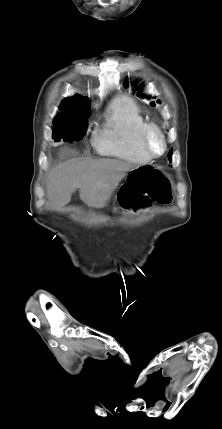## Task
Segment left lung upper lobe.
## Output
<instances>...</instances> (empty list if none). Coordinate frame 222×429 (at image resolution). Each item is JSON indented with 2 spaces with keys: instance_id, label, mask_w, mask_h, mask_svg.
Here are the masks:
<instances>
[{
  "instance_id": "left-lung-upper-lobe-1",
  "label": "left lung upper lobe",
  "mask_w": 222,
  "mask_h": 429,
  "mask_svg": "<svg viewBox=\"0 0 222 429\" xmlns=\"http://www.w3.org/2000/svg\"><path fill=\"white\" fill-rule=\"evenodd\" d=\"M128 84V82H126L125 83V85H127ZM134 87H135V89H137V91H139V92H141L140 91V89L143 87V86H139V87H137V83L135 82V85H134ZM140 96H142L143 98H146V99H150L151 97L149 96H146V95H144V94H142V93H140L139 94ZM157 102H159V101H157ZM152 106H155V102L154 101H152L151 103H150ZM171 155H172V152L171 151H169V153H168V157H169V159H171Z\"/></svg>"
}]
</instances>
